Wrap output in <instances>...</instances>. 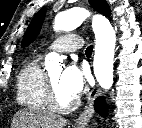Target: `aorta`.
Masks as SVG:
<instances>
[{"mask_svg":"<svg viewBox=\"0 0 142 128\" xmlns=\"http://www.w3.org/2000/svg\"><path fill=\"white\" fill-rule=\"evenodd\" d=\"M89 13L82 8H72L60 12L55 16V31H71L79 27ZM95 34L94 75L99 85L108 90L113 84V64L116 45V34L108 19L95 16L92 21ZM63 61L57 53H50L45 58V66L48 70L59 66Z\"/></svg>","mask_w":142,"mask_h":128,"instance_id":"obj_1","label":"aorta"}]
</instances>
